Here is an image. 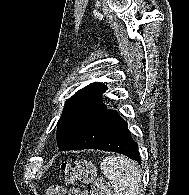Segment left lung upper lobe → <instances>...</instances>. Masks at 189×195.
Masks as SVG:
<instances>
[{
    "mask_svg": "<svg viewBox=\"0 0 189 195\" xmlns=\"http://www.w3.org/2000/svg\"><path fill=\"white\" fill-rule=\"evenodd\" d=\"M106 87L93 83L75 93L67 100L57 123V145L63 144L81 125L88 121L104 104L101 95Z\"/></svg>",
    "mask_w": 189,
    "mask_h": 195,
    "instance_id": "1",
    "label": "left lung upper lobe"
}]
</instances>
